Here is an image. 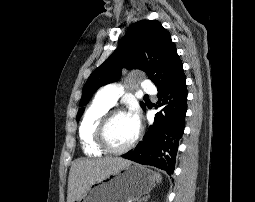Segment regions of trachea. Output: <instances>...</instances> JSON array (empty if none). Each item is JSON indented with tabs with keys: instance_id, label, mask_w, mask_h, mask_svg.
Here are the masks:
<instances>
[{
	"instance_id": "trachea-1",
	"label": "trachea",
	"mask_w": 255,
	"mask_h": 202,
	"mask_svg": "<svg viewBox=\"0 0 255 202\" xmlns=\"http://www.w3.org/2000/svg\"><path fill=\"white\" fill-rule=\"evenodd\" d=\"M144 97H149L148 95H145Z\"/></svg>"
}]
</instances>
